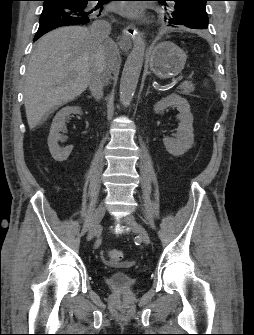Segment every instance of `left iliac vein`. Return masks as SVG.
<instances>
[{"mask_svg": "<svg viewBox=\"0 0 254 335\" xmlns=\"http://www.w3.org/2000/svg\"><path fill=\"white\" fill-rule=\"evenodd\" d=\"M123 222L136 231L145 244L150 243V237L146 229L135 219L133 215H127L123 218Z\"/></svg>", "mask_w": 254, "mask_h": 335, "instance_id": "1", "label": "left iliac vein"}]
</instances>
